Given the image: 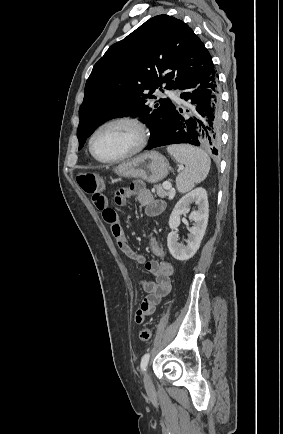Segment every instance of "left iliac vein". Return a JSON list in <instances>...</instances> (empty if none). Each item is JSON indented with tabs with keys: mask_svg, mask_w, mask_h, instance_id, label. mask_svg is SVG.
Masks as SVG:
<instances>
[{
	"mask_svg": "<svg viewBox=\"0 0 283 434\" xmlns=\"http://www.w3.org/2000/svg\"><path fill=\"white\" fill-rule=\"evenodd\" d=\"M144 386L148 393H152L154 391L153 383L148 372H146L144 376Z\"/></svg>",
	"mask_w": 283,
	"mask_h": 434,
	"instance_id": "left-iliac-vein-1",
	"label": "left iliac vein"
}]
</instances>
